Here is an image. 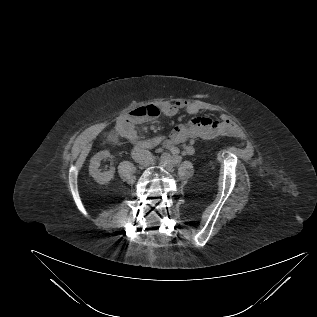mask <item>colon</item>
<instances>
[{"instance_id": "1", "label": "colon", "mask_w": 317, "mask_h": 317, "mask_svg": "<svg viewBox=\"0 0 317 317\" xmlns=\"http://www.w3.org/2000/svg\"><path fill=\"white\" fill-rule=\"evenodd\" d=\"M160 110L155 105H144L134 109L130 115L136 119L155 118L159 116Z\"/></svg>"}]
</instances>
